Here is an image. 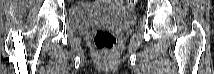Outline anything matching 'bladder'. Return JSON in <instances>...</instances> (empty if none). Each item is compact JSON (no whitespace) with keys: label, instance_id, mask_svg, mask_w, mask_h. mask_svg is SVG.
Here are the masks:
<instances>
[{"label":"bladder","instance_id":"obj_1","mask_svg":"<svg viewBox=\"0 0 214 74\" xmlns=\"http://www.w3.org/2000/svg\"><path fill=\"white\" fill-rule=\"evenodd\" d=\"M136 19L134 13L113 9L107 6L78 5L72 7L68 13V23L71 31L81 33L86 27L95 23H112L119 28L132 24Z\"/></svg>","mask_w":214,"mask_h":74}]
</instances>
